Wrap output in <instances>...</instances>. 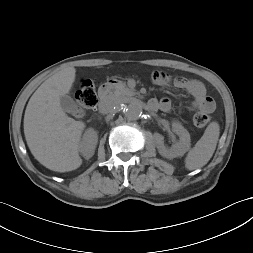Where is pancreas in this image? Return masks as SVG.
<instances>
[{
	"instance_id": "1",
	"label": "pancreas",
	"mask_w": 253,
	"mask_h": 253,
	"mask_svg": "<svg viewBox=\"0 0 253 253\" xmlns=\"http://www.w3.org/2000/svg\"><path fill=\"white\" fill-rule=\"evenodd\" d=\"M114 95L120 97L131 96L134 95V92L124 82L119 81L114 86Z\"/></svg>"
}]
</instances>
